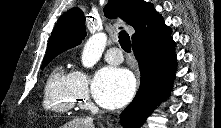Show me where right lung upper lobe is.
Listing matches in <instances>:
<instances>
[{"label": "right lung upper lobe", "mask_w": 221, "mask_h": 128, "mask_svg": "<svg viewBox=\"0 0 221 128\" xmlns=\"http://www.w3.org/2000/svg\"><path fill=\"white\" fill-rule=\"evenodd\" d=\"M107 18L120 16L135 29L132 45H154L171 35V29L163 23V18L153 5L143 0H109L104 8ZM86 36L83 11L74 7L68 10L57 22L44 58L56 57L63 51L81 43Z\"/></svg>", "instance_id": "cb5924a9"}]
</instances>
